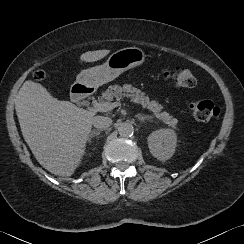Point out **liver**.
Here are the masks:
<instances>
[{
  "mask_svg": "<svg viewBox=\"0 0 244 244\" xmlns=\"http://www.w3.org/2000/svg\"><path fill=\"white\" fill-rule=\"evenodd\" d=\"M109 52L88 51L80 60L95 62ZM15 109L24 140L39 164L54 175L71 176L85 154L95 112L60 101L31 80L22 85Z\"/></svg>",
  "mask_w": 244,
  "mask_h": 244,
  "instance_id": "obj_1",
  "label": "liver"
}]
</instances>
